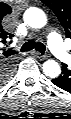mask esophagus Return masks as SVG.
Here are the masks:
<instances>
[{"instance_id": "obj_1", "label": "esophagus", "mask_w": 71, "mask_h": 119, "mask_svg": "<svg viewBox=\"0 0 71 119\" xmlns=\"http://www.w3.org/2000/svg\"><path fill=\"white\" fill-rule=\"evenodd\" d=\"M35 55H36L38 58H40V59H44V58H45L44 55H41V54H39V53H35Z\"/></svg>"}]
</instances>
